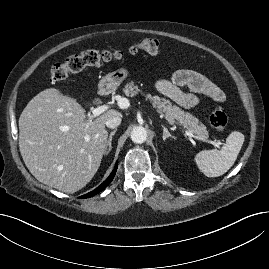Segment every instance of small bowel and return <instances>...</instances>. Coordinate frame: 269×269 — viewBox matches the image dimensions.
<instances>
[{"label":"small bowel","instance_id":"small-bowel-1","mask_svg":"<svg viewBox=\"0 0 269 269\" xmlns=\"http://www.w3.org/2000/svg\"><path fill=\"white\" fill-rule=\"evenodd\" d=\"M155 86L161 94L186 109L198 105L199 95L218 103L225 100V94L219 87L202 74L191 69L177 70L170 80H158ZM180 87H187L190 92H183Z\"/></svg>","mask_w":269,"mask_h":269}]
</instances>
